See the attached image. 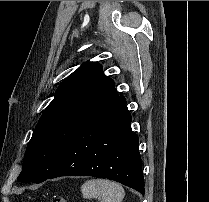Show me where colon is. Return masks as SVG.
<instances>
[{
	"label": "colon",
	"mask_w": 209,
	"mask_h": 202,
	"mask_svg": "<svg viewBox=\"0 0 209 202\" xmlns=\"http://www.w3.org/2000/svg\"><path fill=\"white\" fill-rule=\"evenodd\" d=\"M40 202H47V201L41 200ZM51 202H70V201L62 197H56Z\"/></svg>",
	"instance_id": "colon-1"
}]
</instances>
